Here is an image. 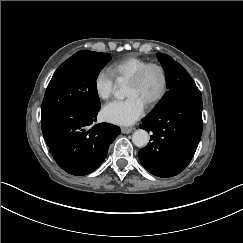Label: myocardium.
<instances>
[{"mask_svg":"<svg viewBox=\"0 0 243 243\" xmlns=\"http://www.w3.org/2000/svg\"><path fill=\"white\" fill-rule=\"evenodd\" d=\"M151 67L158 68L161 71L162 76H163V88H162L160 94L154 100L150 101L147 104L150 107H154L164 100V98L166 97V95L168 93L169 86H170L169 74H168L166 67L163 64H161L159 62H155V61H150V62L145 63L130 77L128 82L134 83V84L139 83L141 81V79L143 78L144 74L146 73V71L148 69H150Z\"/></svg>","mask_w":243,"mask_h":243,"instance_id":"obj_1","label":"myocardium"}]
</instances>
